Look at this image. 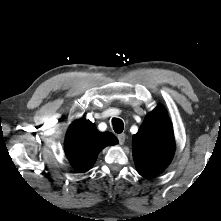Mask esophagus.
I'll return each mask as SVG.
<instances>
[{
	"mask_svg": "<svg viewBox=\"0 0 221 221\" xmlns=\"http://www.w3.org/2000/svg\"><path fill=\"white\" fill-rule=\"evenodd\" d=\"M117 138H118L119 144H120V145H123L124 142H125V139H126V135H125L124 133H122V134H119V135L117 136Z\"/></svg>",
	"mask_w": 221,
	"mask_h": 221,
	"instance_id": "obj_1",
	"label": "esophagus"
}]
</instances>
